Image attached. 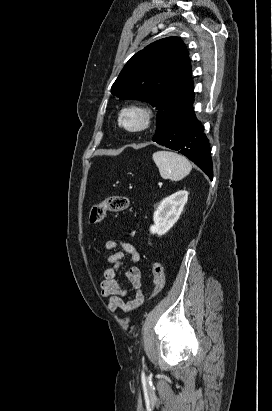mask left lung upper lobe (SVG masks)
<instances>
[{"label": "left lung upper lobe", "instance_id": "left-lung-upper-lobe-1", "mask_svg": "<svg viewBox=\"0 0 272 411\" xmlns=\"http://www.w3.org/2000/svg\"><path fill=\"white\" fill-rule=\"evenodd\" d=\"M188 55L178 37L151 43L131 57L111 93L119 99H137L156 107L158 131L194 97Z\"/></svg>", "mask_w": 272, "mask_h": 411}]
</instances>
